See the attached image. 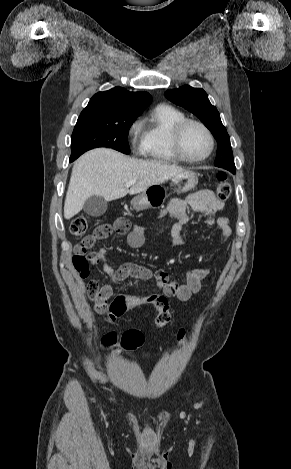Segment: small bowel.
<instances>
[{
    "label": "small bowel",
    "mask_w": 291,
    "mask_h": 469,
    "mask_svg": "<svg viewBox=\"0 0 291 469\" xmlns=\"http://www.w3.org/2000/svg\"><path fill=\"white\" fill-rule=\"evenodd\" d=\"M191 209L194 212L205 216V225L208 227H217L221 236L228 239L231 236L229 218L226 215L215 217V213L224 210V203L217 200L209 190H200L190 194L186 199H173L166 209L161 212V216H169L176 219L171 228L173 244L176 246L185 245L188 239L183 235V228L191 220L188 212ZM106 229L104 238L108 237L113 231L126 235V241L130 248L138 249L144 244V230L141 225L132 226L128 219L124 217L117 218L112 224L102 225ZM108 252L101 248L88 254L89 258L94 259L96 263L101 264L112 282H119L128 278L151 279L156 281L163 293H168L170 298H176L179 301L186 302L192 295L198 293L202 288V281L209 275L210 270L207 267L197 268L186 273L184 283H176L168 280L167 273L162 270L151 271L147 267L135 263H125L117 269H113L107 263ZM93 282L97 281L92 280ZM99 285V284H98ZM113 295L111 285L99 286L98 293L93 298L95 310L99 313H106L109 310V298ZM149 295H128L129 301L148 300ZM134 307V306H129Z\"/></svg>",
    "instance_id": "1"
}]
</instances>
